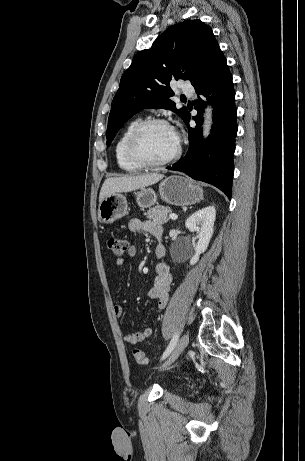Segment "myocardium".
Listing matches in <instances>:
<instances>
[{"mask_svg":"<svg viewBox=\"0 0 305 461\" xmlns=\"http://www.w3.org/2000/svg\"><path fill=\"white\" fill-rule=\"evenodd\" d=\"M155 125H165L170 127L169 123L160 118H150L144 121H141L136 128L131 133L127 145H126V152L128 158L136 165L140 166L141 168H158L165 165L172 163L173 161L177 160L182 152L181 146L178 143L175 152L170 155L169 157L160 160V161H150L143 157L139 151V145L143 134L146 130Z\"/></svg>","mask_w":305,"mask_h":461,"instance_id":"f54148a6","label":"myocardium"}]
</instances>
